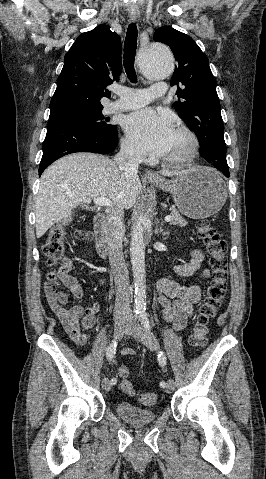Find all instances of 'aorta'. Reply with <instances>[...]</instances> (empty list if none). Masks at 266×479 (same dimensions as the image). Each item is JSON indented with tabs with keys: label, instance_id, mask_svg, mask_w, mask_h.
Listing matches in <instances>:
<instances>
[{
	"label": "aorta",
	"instance_id": "762f6f07",
	"mask_svg": "<svg viewBox=\"0 0 266 479\" xmlns=\"http://www.w3.org/2000/svg\"><path fill=\"white\" fill-rule=\"evenodd\" d=\"M138 63L143 73L150 79L162 80L168 78L174 70V58L170 49L161 43H151L139 52ZM145 212L143 225L136 224L132 230L130 253L134 277V299L136 312L144 313L145 304V240L144 232H151L152 204L149 198L142 202Z\"/></svg>",
	"mask_w": 266,
	"mask_h": 479
}]
</instances>
